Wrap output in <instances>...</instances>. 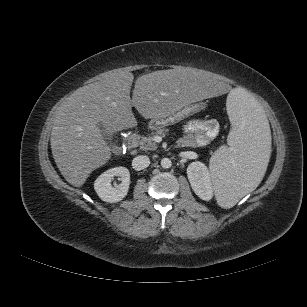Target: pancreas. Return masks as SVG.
I'll list each match as a JSON object with an SVG mask.
<instances>
[{
  "mask_svg": "<svg viewBox=\"0 0 307 307\" xmlns=\"http://www.w3.org/2000/svg\"><path fill=\"white\" fill-rule=\"evenodd\" d=\"M166 132V129L161 128L147 134V136H138L135 146H139L142 150H156L157 145L154 142V137L156 135H165Z\"/></svg>",
  "mask_w": 307,
  "mask_h": 307,
  "instance_id": "cf45deb5",
  "label": "pancreas"
}]
</instances>
